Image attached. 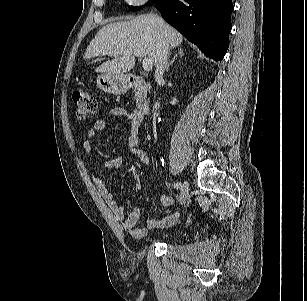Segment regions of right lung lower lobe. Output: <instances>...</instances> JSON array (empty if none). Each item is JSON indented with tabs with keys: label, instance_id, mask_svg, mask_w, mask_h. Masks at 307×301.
<instances>
[{
	"label": "right lung lower lobe",
	"instance_id": "1",
	"mask_svg": "<svg viewBox=\"0 0 307 301\" xmlns=\"http://www.w3.org/2000/svg\"><path fill=\"white\" fill-rule=\"evenodd\" d=\"M157 10L205 55L221 61L228 49L232 0H159Z\"/></svg>",
	"mask_w": 307,
	"mask_h": 301
}]
</instances>
